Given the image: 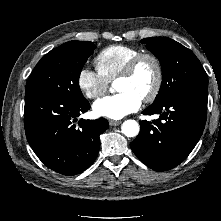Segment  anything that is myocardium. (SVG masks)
Instances as JSON below:
<instances>
[{
	"label": "myocardium",
	"instance_id": "myocardium-1",
	"mask_svg": "<svg viewBox=\"0 0 221 221\" xmlns=\"http://www.w3.org/2000/svg\"><path fill=\"white\" fill-rule=\"evenodd\" d=\"M149 60L152 62L154 68H155V82L151 89V91L142 98V100L145 103H151L153 102L159 95L162 85H163V79H164V71L163 66L160 61V59L153 53L149 52H140L134 57H132L123 70L118 75V79L120 78H131L134 73L136 72L139 65L144 61Z\"/></svg>",
	"mask_w": 221,
	"mask_h": 221
}]
</instances>
